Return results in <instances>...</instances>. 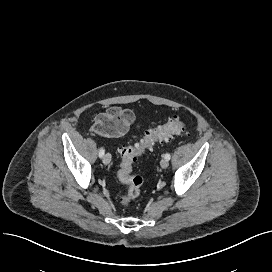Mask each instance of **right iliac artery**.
I'll return each mask as SVG.
<instances>
[{"mask_svg": "<svg viewBox=\"0 0 272 272\" xmlns=\"http://www.w3.org/2000/svg\"><path fill=\"white\" fill-rule=\"evenodd\" d=\"M105 150L103 147L100 148L99 150V157L102 158L104 156Z\"/></svg>", "mask_w": 272, "mask_h": 272, "instance_id": "82829eb1", "label": "right iliac artery"}]
</instances>
